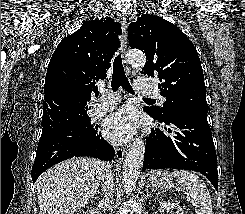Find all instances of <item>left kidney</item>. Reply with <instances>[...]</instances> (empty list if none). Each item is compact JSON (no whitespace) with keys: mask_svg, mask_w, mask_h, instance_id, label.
Listing matches in <instances>:
<instances>
[{"mask_svg":"<svg viewBox=\"0 0 245 214\" xmlns=\"http://www.w3.org/2000/svg\"><path fill=\"white\" fill-rule=\"evenodd\" d=\"M174 208L176 209L175 214H184L182 207L178 203L161 202L159 207L160 211H164L165 209L170 211Z\"/></svg>","mask_w":245,"mask_h":214,"instance_id":"left-kidney-1","label":"left kidney"}]
</instances>
